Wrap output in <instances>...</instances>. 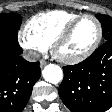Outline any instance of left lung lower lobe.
Here are the masks:
<instances>
[{"label":"left lung lower lobe","instance_id":"0a47b994","mask_svg":"<svg viewBox=\"0 0 112 112\" xmlns=\"http://www.w3.org/2000/svg\"><path fill=\"white\" fill-rule=\"evenodd\" d=\"M63 71L59 95L72 112H105L112 107V40Z\"/></svg>","mask_w":112,"mask_h":112}]
</instances>
